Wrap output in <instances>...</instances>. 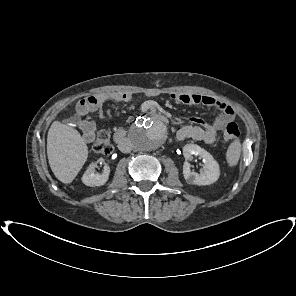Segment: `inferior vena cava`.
Returning <instances> with one entry per match:
<instances>
[{
  "mask_svg": "<svg viewBox=\"0 0 296 296\" xmlns=\"http://www.w3.org/2000/svg\"><path fill=\"white\" fill-rule=\"evenodd\" d=\"M131 148H132V146L129 141L119 143V149L122 152H129L131 150Z\"/></svg>",
  "mask_w": 296,
  "mask_h": 296,
  "instance_id": "obj_1",
  "label": "inferior vena cava"
}]
</instances>
